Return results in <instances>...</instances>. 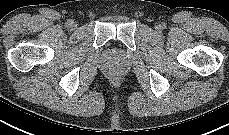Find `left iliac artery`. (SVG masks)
Returning a JSON list of instances; mask_svg holds the SVG:
<instances>
[{
  "label": "left iliac artery",
  "instance_id": "left-iliac-artery-1",
  "mask_svg": "<svg viewBox=\"0 0 229 135\" xmlns=\"http://www.w3.org/2000/svg\"><path fill=\"white\" fill-rule=\"evenodd\" d=\"M162 29H164L166 27V25L164 23L161 24Z\"/></svg>",
  "mask_w": 229,
  "mask_h": 135
}]
</instances>
